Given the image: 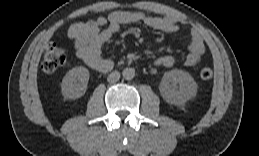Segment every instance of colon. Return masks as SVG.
Listing matches in <instances>:
<instances>
[{"label":"colon","instance_id":"1","mask_svg":"<svg viewBox=\"0 0 259 156\" xmlns=\"http://www.w3.org/2000/svg\"><path fill=\"white\" fill-rule=\"evenodd\" d=\"M66 51L55 43H50L44 49L41 67L45 73L52 74L66 65ZM213 76V71L209 67H204L200 71L203 80H209Z\"/></svg>","mask_w":259,"mask_h":156}]
</instances>
